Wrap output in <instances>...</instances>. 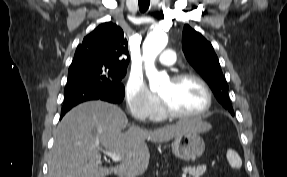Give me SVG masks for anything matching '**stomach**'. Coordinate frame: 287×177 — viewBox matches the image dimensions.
<instances>
[{
  "instance_id": "obj_1",
  "label": "stomach",
  "mask_w": 287,
  "mask_h": 177,
  "mask_svg": "<svg viewBox=\"0 0 287 177\" xmlns=\"http://www.w3.org/2000/svg\"><path fill=\"white\" fill-rule=\"evenodd\" d=\"M172 152L184 161H195L205 150L204 140L198 131H188L175 137Z\"/></svg>"
}]
</instances>
